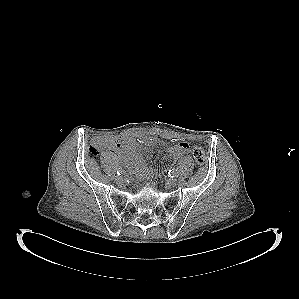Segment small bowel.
<instances>
[{"mask_svg":"<svg viewBox=\"0 0 299 299\" xmlns=\"http://www.w3.org/2000/svg\"><path fill=\"white\" fill-rule=\"evenodd\" d=\"M151 144H162L158 135L146 140ZM122 161L128 171L137 178H151L156 175L157 171L149 167L143 158L137 139L133 137H121L118 139L109 138L106 144ZM190 146L186 142L176 143L167 149L166 157L168 159H178L189 153Z\"/></svg>","mask_w":299,"mask_h":299,"instance_id":"c3829d8e","label":"small bowel"}]
</instances>
